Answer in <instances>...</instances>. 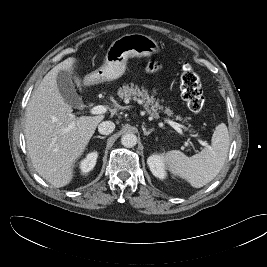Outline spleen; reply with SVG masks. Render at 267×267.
<instances>
[{
  "label": "spleen",
  "instance_id": "3e777b00",
  "mask_svg": "<svg viewBox=\"0 0 267 267\" xmlns=\"http://www.w3.org/2000/svg\"><path fill=\"white\" fill-rule=\"evenodd\" d=\"M228 150V129L224 123H221L215 128L211 146L191 157H187L179 150H172L166 153L164 159L173 175L185 179L195 188H201L213 180L221 171Z\"/></svg>",
  "mask_w": 267,
  "mask_h": 267
}]
</instances>
